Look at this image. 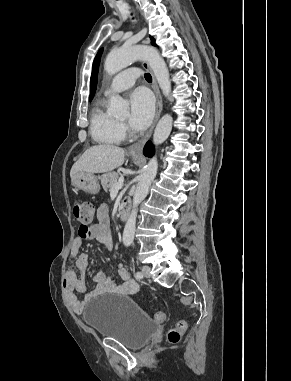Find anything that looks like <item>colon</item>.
I'll return each mask as SVG.
<instances>
[{
    "label": "colon",
    "mask_w": 291,
    "mask_h": 381,
    "mask_svg": "<svg viewBox=\"0 0 291 381\" xmlns=\"http://www.w3.org/2000/svg\"><path fill=\"white\" fill-rule=\"evenodd\" d=\"M72 214L74 218L80 223V228L86 229L93 221L94 208L89 202L75 201L72 205ZM151 317L155 322L161 323L165 320L166 315L164 312L160 311L155 312ZM185 327V323L183 321H179L175 327L171 328L168 331V340L171 343L179 342Z\"/></svg>",
    "instance_id": "obj_1"
}]
</instances>
